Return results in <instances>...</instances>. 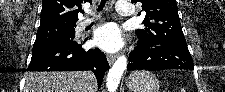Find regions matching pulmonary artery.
Returning <instances> with one entry per match:
<instances>
[{"mask_svg":"<svg viewBox=\"0 0 225 92\" xmlns=\"http://www.w3.org/2000/svg\"><path fill=\"white\" fill-rule=\"evenodd\" d=\"M128 6L129 3L127 2L120 1L118 3V9L122 15L131 16L133 14V12L128 8ZM87 13L93 15V17L81 20L78 24L79 29L86 27L87 25L91 24L95 19H97V16L94 15L93 12L88 11Z\"/></svg>","mask_w":225,"mask_h":92,"instance_id":"obj_1","label":"pulmonary artery"}]
</instances>
